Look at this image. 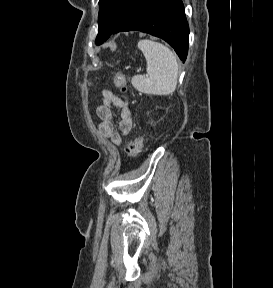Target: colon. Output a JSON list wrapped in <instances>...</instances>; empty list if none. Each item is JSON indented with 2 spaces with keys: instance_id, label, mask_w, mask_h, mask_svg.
Returning a JSON list of instances; mask_svg holds the SVG:
<instances>
[{
  "instance_id": "obj_1",
  "label": "colon",
  "mask_w": 273,
  "mask_h": 288,
  "mask_svg": "<svg viewBox=\"0 0 273 288\" xmlns=\"http://www.w3.org/2000/svg\"><path fill=\"white\" fill-rule=\"evenodd\" d=\"M125 83L126 80L124 74L121 72L116 73L114 76V84L116 85V87H118L119 89H124ZM143 145L144 138L142 136H137L127 141L124 148L126 155L130 158L137 156L141 151Z\"/></svg>"
}]
</instances>
